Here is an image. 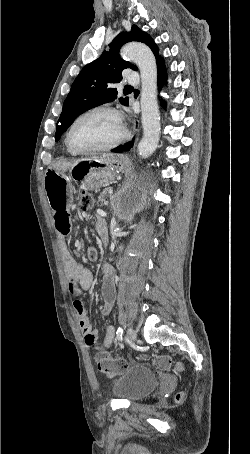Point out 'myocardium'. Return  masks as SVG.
Returning <instances> with one entry per match:
<instances>
[{
    "instance_id": "obj_1",
    "label": "myocardium",
    "mask_w": 250,
    "mask_h": 454,
    "mask_svg": "<svg viewBox=\"0 0 250 454\" xmlns=\"http://www.w3.org/2000/svg\"><path fill=\"white\" fill-rule=\"evenodd\" d=\"M96 112H108V113L114 114L120 122L121 134L116 139H114L112 142H110L106 145H103V146L88 148V149H82V148L76 147L72 142V133H73L75 126L83 118H85L93 113H96ZM128 136H129V131L123 121V118H122L120 112L114 107L100 105V106H96V107L86 110L73 121V123L71 124V126L68 129V132L66 135V141H67L68 147L73 152L78 153V154H92V153L103 152V151H108V150L114 149L117 146H119L120 144H122L128 138Z\"/></svg>"
}]
</instances>
